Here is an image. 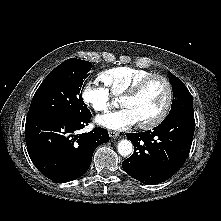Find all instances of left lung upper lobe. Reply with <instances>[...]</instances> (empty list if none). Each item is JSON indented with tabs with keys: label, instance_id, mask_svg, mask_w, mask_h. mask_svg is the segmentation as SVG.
Segmentation results:
<instances>
[{
	"label": "left lung upper lobe",
	"instance_id": "1",
	"mask_svg": "<svg viewBox=\"0 0 221 221\" xmlns=\"http://www.w3.org/2000/svg\"><path fill=\"white\" fill-rule=\"evenodd\" d=\"M169 79L173 88V101L171 110L165 119L172 117H194L192 95L184 83L175 75L170 73Z\"/></svg>",
	"mask_w": 221,
	"mask_h": 221
}]
</instances>
